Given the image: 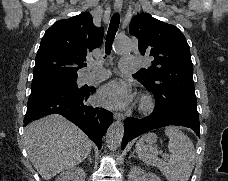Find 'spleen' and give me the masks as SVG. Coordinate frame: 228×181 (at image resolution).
I'll return each instance as SVG.
<instances>
[{
    "mask_svg": "<svg viewBox=\"0 0 228 181\" xmlns=\"http://www.w3.org/2000/svg\"><path fill=\"white\" fill-rule=\"evenodd\" d=\"M165 135L169 139L170 157L159 159L156 149L147 147L144 137H141L136 143L139 159L146 165L158 167L167 181H189L195 163V149L192 141L178 127H166Z\"/></svg>",
    "mask_w": 228,
    "mask_h": 181,
    "instance_id": "3e777b00",
    "label": "spleen"
}]
</instances>
